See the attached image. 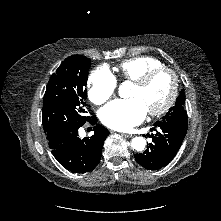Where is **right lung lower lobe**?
<instances>
[{"label": "right lung lower lobe", "instance_id": "right-lung-lower-lobe-1", "mask_svg": "<svg viewBox=\"0 0 221 221\" xmlns=\"http://www.w3.org/2000/svg\"><path fill=\"white\" fill-rule=\"evenodd\" d=\"M88 122L95 125L96 116H91ZM79 127L48 139V145L56 160L73 173L89 172L98 165L104 141L109 135V131L104 126L97 124L91 137L80 139Z\"/></svg>", "mask_w": 221, "mask_h": 221}]
</instances>
